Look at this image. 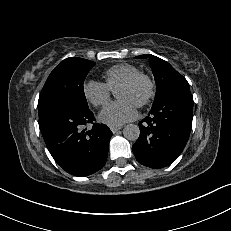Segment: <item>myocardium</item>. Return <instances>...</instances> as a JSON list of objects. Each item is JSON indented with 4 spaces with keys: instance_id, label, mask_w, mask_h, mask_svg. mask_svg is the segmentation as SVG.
Here are the masks:
<instances>
[{
    "instance_id": "myocardium-1",
    "label": "myocardium",
    "mask_w": 231,
    "mask_h": 231,
    "mask_svg": "<svg viewBox=\"0 0 231 231\" xmlns=\"http://www.w3.org/2000/svg\"><path fill=\"white\" fill-rule=\"evenodd\" d=\"M140 82H145L147 85V93L145 97L137 105V107L143 108V107L148 106L153 101L155 94H156L155 81L149 74L139 72L131 76L127 80H125L123 83H121L118 88L133 87V86H136Z\"/></svg>"
}]
</instances>
